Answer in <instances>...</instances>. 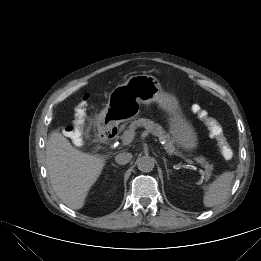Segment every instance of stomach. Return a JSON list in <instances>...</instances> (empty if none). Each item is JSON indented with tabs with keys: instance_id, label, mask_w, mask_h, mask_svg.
<instances>
[{
	"instance_id": "1",
	"label": "stomach",
	"mask_w": 261,
	"mask_h": 261,
	"mask_svg": "<svg viewBox=\"0 0 261 261\" xmlns=\"http://www.w3.org/2000/svg\"><path fill=\"white\" fill-rule=\"evenodd\" d=\"M152 103H157L167 114L174 142L186 152L196 150L199 147L198 135L183 116L178 100L174 95L164 92L158 79L152 75H134L115 87L106 107L98 116V123L111 127L132 120L138 116L141 104Z\"/></svg>"
}]
</instances>
